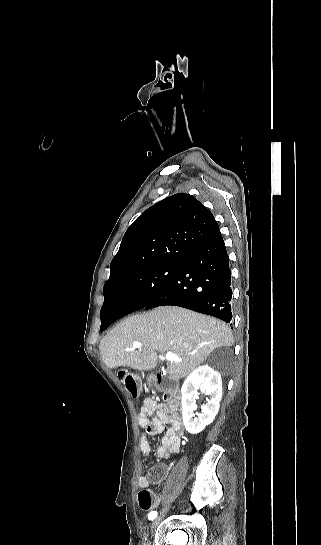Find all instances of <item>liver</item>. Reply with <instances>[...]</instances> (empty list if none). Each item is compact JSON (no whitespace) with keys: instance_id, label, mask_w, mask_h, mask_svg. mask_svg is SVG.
I'll use <instances>...</instances> for the list:
<instances>
[{"instance_id":"obj_1","label":"liver","mask_w":321,"mask_h":545,"mask_svg":"<svg viewBox=\"0 0 321 545\" xmlns=\"http://www.w3.org/2000/svg\"><path fill=\"white\" fill-rule=\"evenodd\" d=\"M139 341L142 347L133 349ZM233 335L226 323L181 307H157L149 313L127 317L103 337L99 349L109 369L130 367L151 371L157 367V353H174L181 363L167 367L171 379H184L200 367L218 347H232Z\"/></svg>"}]
</instances>
